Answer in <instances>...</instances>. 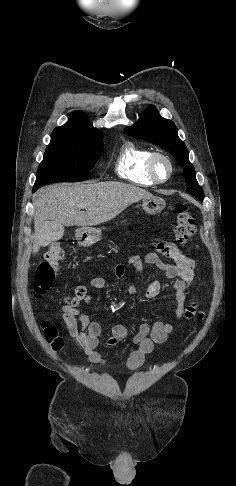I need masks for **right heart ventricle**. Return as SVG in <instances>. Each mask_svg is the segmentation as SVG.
Wrapping results in <instances>:
<instances>
[{
	"label": "right heart ventricle",
	"mask_w": 236,
	"mask_h": 486,
	"mask_svg": "<svg viewBox=\"0 0 236 486\" xmlns=\"http://www.w3.org/2000/svg\"><path fill=\"white\" fill-rule=\"evenodd\" d=\"M151 153V150L147 147L133 142L126 143L121 148L117 158V174L121 178L140 186L154 185L155 183L146 171L147 159Z\"/></svg>",
	"instance_id": "e07e8e85"
}]
</instances>
